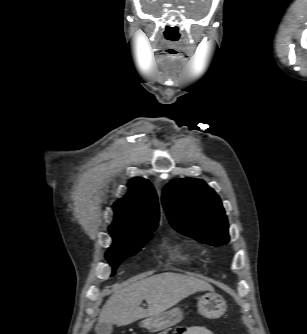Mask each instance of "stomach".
Here are the masks:
<instances>
[{
  "label": "stomach",
  "mask_w": 307,
  "mask_h": 334,
  "mask_svg": "<svg viewBox=\"0 0 307 334\" xmlns=\"http://www.w3.org/2000/svg\"><path fill=\"white\" fill-rule=\"evenodd\" d=\"M197 306L198 312L209 319H217L227 310L226 301L213 292L200 296ZM183 317V311L176 307L141 321L139 326L152 332H157L176 325L182 321Z\"/></svg>",
  "instance_id": "0dacf381"
}]
</instances>
